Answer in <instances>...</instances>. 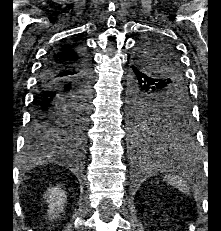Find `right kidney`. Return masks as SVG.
<instances>
[{"mask_svg": "<svg viewBox=\"0 0 221 231\" xmlns=\"http://www.w3.org/2000/svg\"><path fill=\"white\" fill-rule=\"evenodd\" d=\"M46 202L49 204L48 215L50 219H55L63 211L64 204L66 203L65 191L61 190L58 186L49 188L44 194Z\"/></svg>", "mask_w": 221, "mask_h": 231, "instance_id": "1", "label": "right kidney"}]
</instances>
